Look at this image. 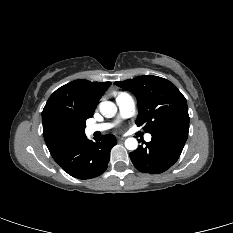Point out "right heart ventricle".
Masks as SVG:
<instances>
[{"mask_svg":"<svg viewBox=\"0 0 233 233\" xmlns=\"http://www.w3.org/2000/svg\"><path fill=\"white\" fill-rule=\"evenodd\" d=\"M124 94H125V93H119L118 96H121V95H124ZM118 96H117V97H118Z\"/></svg>","mask_w":233,"mask_h":233,"instance_id":"right-heart-ventricle-1","label":"right heart ventricle"}]
</instances>
